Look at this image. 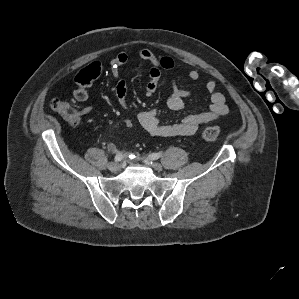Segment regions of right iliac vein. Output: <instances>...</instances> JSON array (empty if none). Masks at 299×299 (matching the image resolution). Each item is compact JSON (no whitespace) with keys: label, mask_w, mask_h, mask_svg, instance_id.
<instances>
[{"label":"right iliac vein","mask_w":299,"mask_h":299,"mask_svg":"<svg viewBox=\"0 0 299 299\" xmlns=\"http://www.w3.org/2000/svg\"><path fill=\"white\" fill-rule=\"evenodd\" d=\"M108 168L110 171L115 172L120 168V165L117 162H111L108 164Z\"/></svg>","instance_id":"obj_1"}]
</instances>
